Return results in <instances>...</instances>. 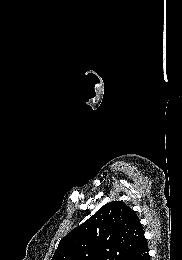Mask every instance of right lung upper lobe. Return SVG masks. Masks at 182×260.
I'll use <instances>...</instances> for the list:
<instances>
[{"label":"right lung upper lobe","instance_id":"right-lung-upper-lobe-1","mask_svg":"<svg viewBox=\"0 0 182 260\" xmlns=\"http://www.w3.org/2000/svg\"><path fill=\"white\" fill-rule=\"evenodd\" d=\"M145 242L136 212L113 201L63 237L51 260H124Z\"/></svg>","mask_w":182,"mask_h":260}]
</instances>
